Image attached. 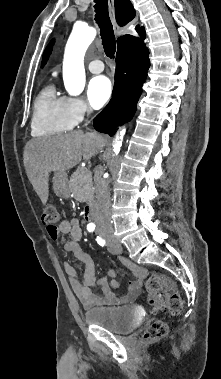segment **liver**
<instances>
[{
  "label": "liver",
  "mask_w": 221,
  "mask_h": 379,
  "mask_svg": "<svg viewBox=\"0 0 221 379\" xmlns=\"http://www.w3.org/2000/svg\"><path fill=\"white\" fill-rule=\"evenodd\" d=\"M106 144L96 133L81 130L66 134L33 138L25 145L24 166L35 192L46 204L49 196V174L69 170L89 160Z\"/></svg>",
  "instance_id": "1"
}]
</instances>
